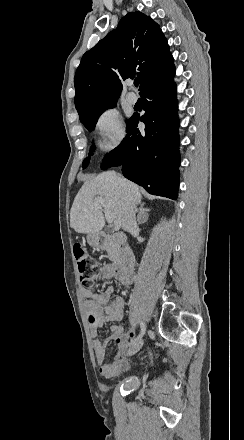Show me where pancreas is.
Masks as SVG:
<instances>
[{
  "label": "pancreas",
  "mask_w": 244,
  "mask_h": 440,
  "mask_svg": "<svg viewBox=\"0 0 244 440\" xmlns=\"http://www.w3.org/2000/svg\"><path fill=\"white\" fill-rule=\"evenodd\" d=\"M105 250L111 262H118L120 254V242H117V240H108L107 244H105Z\"/></svg>",
  "instance_id": "cf45deb5"
}]
</instances>
